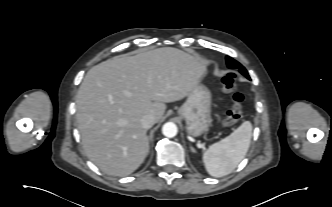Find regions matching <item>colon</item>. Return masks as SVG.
Segmentation results:
<instances>
[{
    "mask_svg": "<svg viewBox=\"0 0 332 207\" xmlns=\"http://www.w3.org/2000/svg\"><path fill=\"white\" fill-rule=\"evenodd\" d=\"M223 89L230 94L232 107L228 111L226 117L222 120L223 126H231L239 122L242 118V104L244 96L236 90L237 74L235 72H228L222 78Z\"/></svg>",
    "mask_w": 332,
    "mask_h": 207,
    "instance_id": "colon-1",
    "label": "colon"
}]
</instances>
